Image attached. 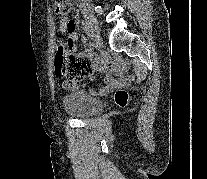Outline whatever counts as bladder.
Segmentation results:
<instances>
[{
	"label": "bladder",
	"mask_w": 207,
	"mask_h": 179,
	"mask_svg": "<svg viewBox=\"0 0 207 179\" xmlns=\"http://www.w3.org/2000/svg\"><path fill=\"white\" fill-rule=\"evenodd\" d=\"M63 109L71 116L85 118L100 113L103 109V103L86 89H79L64 96Z\"/></svg>",
	"instance_id": "bladder-1"
}]
</instances>
